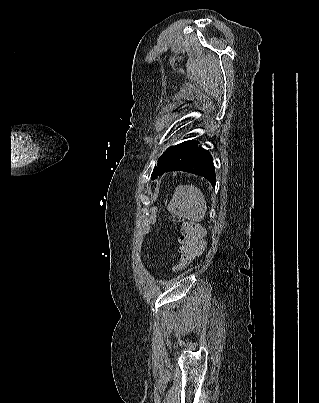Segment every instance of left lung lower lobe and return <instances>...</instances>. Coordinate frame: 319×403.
<instances>
[{"label":"left lung lower lobe","mask_w":319,"mask_h":403,"mask_svg":"<svg viewBox=\"0 0 319 403\" xmlns=\"http://www.w3.org/2000/svg\"><path fill=\"white\" fill-rule=\"evenodd\" d=\"M198 142L185 141L180 144L164 170L185 171L206 178L213 187L216 184L215 168L211 154L198 146Z\"/></svg>","instance_id":"1"}]
</instances>
